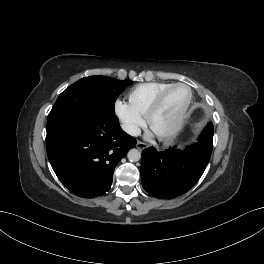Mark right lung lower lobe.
Segmentation results:
<instances>
[{
  "label": "right lung lower lobe",
  "instance_id": "obj_1",
  "mask_svg": "<svg viewBox=\"0 0 264 264\" xmlns=\"http://www.w3.org/2000/svg\"><path fill=\"white\" fill-rule=\"evenodd\" d=\"M136 144L115 114L78 111L47 130V155L60 181L75 195L94 198L110 190L118 162Z\"/></svg>",
  "mask_w": 264,
  "mask_h": 264
}]
</instances>
